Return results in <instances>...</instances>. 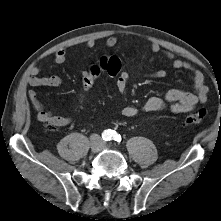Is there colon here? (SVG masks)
<instances>
[{"instance_id": "colon-1", "label": "colon", "mask_w": 221, "mask_h": 221, "mask_svg": "<svg viewBox=\"0 0 221 221\" xmlns=\"http://www.w3.org/2000/svg\"><path fill=\"white\" fill-rule=\"evenodd\" d=\"M120 66V61L116 57L102 58L98 63L90 67L89 74L83 80L84 88L89 89L103 71L110 78L117 77L121 72ZM207 116V109L200 108L198 111L188 114L184 119V123L186 125L200 124L206 120ZM45 125L50 130H55L58 127L51 119H48Z\"/></svg>"}]
</instances>
